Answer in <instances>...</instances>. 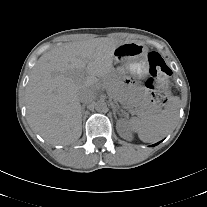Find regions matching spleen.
I'll return each mask as SVG.
<instances>
[{
	"instance_id": "3e777b00",
	"label": "spleen",
	"mask_w": 207,
	"mask_h": 207,
	"mask_svg": "<svg viewBox=\"0 0 207 207\" xmlns=\"http://www.w3.org/2000/svg\"><path fill=\"white\" fill-rule=\"evenodd\" d=\"M180 108L179 97H171L164 110L158 114L130 119L128 126L138 134L141 141L152 143L165 137L175 126Z\"/></svg>"
}]
</instances>
